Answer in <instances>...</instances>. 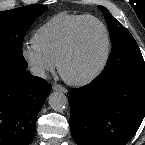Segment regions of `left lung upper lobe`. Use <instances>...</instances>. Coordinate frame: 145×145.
Returning <instances> with one entry per match:
<instances>
[{
  "mask_svg": "<svg viewBox=\"0 0 145 145\" xmlns=\"http://www.w3.org/2000/svg\"><path fill=\"white\" fill-rule=\"evenodd\" d=\"M99 9L104 14L113 45L106 67L95 79L106 81L117 75L145 71L144 59L133 36L105 7L99 6Z\"/></svg>",
  "mask_w": 145,
  "mask_h": 145,
  "instance_id": "obj_1",
  "label": "left lung upper lobe"
}]
</instances>
